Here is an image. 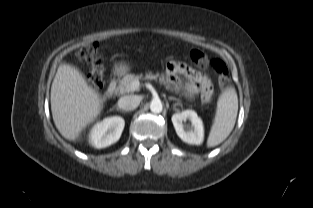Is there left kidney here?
<instances>
[{"mask_svg":"<svg viewBox=\"0 0 313 208\" xmlns=\"http://www.w3.org/2000/svg\"><path fill=\"white\" fill-rule=\"evenodd\" d=\"M186 120L191 121V126L183 124ZM172 123L177 135L188 144L200 145L204 140V127L201 118L193 110H185L173 114Z\"/></svg>","mask_w":313,"mask_h":208,"instance_id":"obj_1","label":"left kidney"}]
</instances>
